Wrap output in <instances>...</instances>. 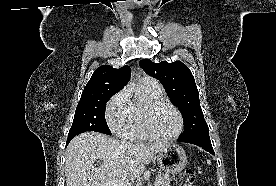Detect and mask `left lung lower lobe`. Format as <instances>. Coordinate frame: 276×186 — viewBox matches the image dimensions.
Listing matches in <instances>:
<instances>
[{"mask_svg": "<svg viewBox=\"0 0 276 186\" xmlns=\"http://www.w3.org/2000/svg\"><path fill=\"white\" fill-rule=\"evenodd\" d=\"M178 141L195 144L214 155V150L210 141L209 133H200L197 135L184 137V138L180 137Z\"/></svg>", "mask_w": 276, "mask_h": 186, "instance_id": "0a47b994", "label": "left lung lower lobe"}]
</instances>
